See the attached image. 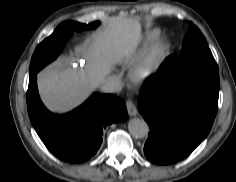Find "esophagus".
Instances as JSON below:
<instances>
[{
    "mask_svg": "<svg viewBox=\"0 0 236 182\" xmlns=\"http://www.w3.org/2000/svg\"><path fill=\"white\" fill-rule=\"evenodd\" d=\"M126 108H127V112H128V114L130 115V116H136L137 115V108H136V106H135V104H134V102L133 101H131V100H128L127 102H126Z\"/></svg>",
    "mask_w": 236,
    "mask_h": 182,
    "instance_id": "esophagus-1",
    "label": "esophagus"
}]
</instances>
